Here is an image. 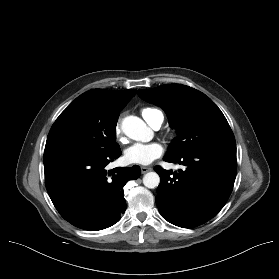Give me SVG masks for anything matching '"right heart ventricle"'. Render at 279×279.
<instances>
[{"label":"right heart ventricle","instance_id":"right-heart-ventricle-1","mask_svg":"<svg viewBox=\"0 0 279 279\" xmlns=\"http://www.w3.org/2000/svg\"><path fill=\"white\" fill-rule=\"evenodd\" d=\"M141 113L143 118L151 125L154 117L159 113V111L153 108H144Z\"/></svg>","mask_w":279,"mask_h":279}]
</instances>
